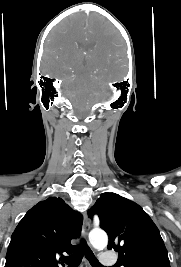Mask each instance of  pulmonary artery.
<instances>
[{"label":"pulmonary artery","mask_w":181,"mask_h":267,"mask_svg":"<svg viewBox=\"0 0 181 267\" xmlns=\"http://www.w3.org/2000/svg\"><path fill=\"white\" fill-rule=\"evenodd\" d=\"M115 260H114V257L111 256L110 254H107V253H103L100 257V263L103 265V266H109V265H112L114 264Z\"/></svg>","instance_id":"1"}]
</instances>
